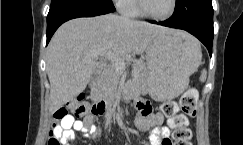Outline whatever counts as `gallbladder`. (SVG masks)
Wrapping results in <instances>:
<instances>
[{"label": "gallbladder", "instance_id": "1", "mask_svg": "<svg viewBox=\"0 0 243 145\" xmlns=\"http://www.w3.org/2000/svg\"><path fill=\"white\" fill-rule=\"evenodd\" d=\"M96 77V73L94 72L93 75L91 76V81H93Z\"/></svg>", "mask_w": 243, "mask_h": 145}]
</instances>
